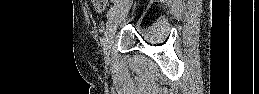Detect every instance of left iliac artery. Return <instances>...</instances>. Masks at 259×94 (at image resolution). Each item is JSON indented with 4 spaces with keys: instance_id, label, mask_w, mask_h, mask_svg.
Here are the masks:
<instances>
[{
    "instance_id": "1",
    "label": "left iliac artery",
    "mask_w": 259,
    "mask_h": 94,
    "mask_svg": "<svg viewBox=\"0 0 259 94\" xmlns=\"http://www.w3.org/2000/svg\"><path fill=\"white\" fill-rule=\"evenodd\" d=\"M117 7L116 6H112L109 11L107 12V17H110L115 11H116Z\"/></svg>"
}]
</instances>
